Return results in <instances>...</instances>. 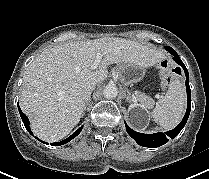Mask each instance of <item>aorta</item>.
Instances as JSON below:
<instances>
[{"mask_svg": "<svg viewBox=\"0 0 209 179\" xmlns=\"http://www.w3.org/2000/svg\"><path fill=\"white\" fill-rule=\"evenodd\" d=\"M117 94L118 90L114 84H108L103 90V95L107 99L115 98Z\"/></svg>", "mask_w": 209, "mask_h": 179, "instance_id": "762f6f07", "label": "aorta"}]
</instances>
